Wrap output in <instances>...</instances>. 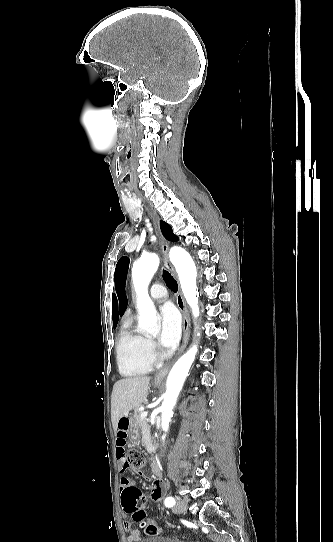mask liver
Masks as SVG:
<instances>
[{"instance_id":"1","label":"liver","mask_w":333,"mask_h":542,"mask_svg":"<svg viewBox=\"0 0 333 542\" xmlns=\"http://www.w3.org/2000/svg\"><path fill=\"white\" fill-rule=\"evenodd\" d=\"M149 376H126L113 386L111 396V422L114 434L118 432V422L125 414L140 408L148 396Z\"/></svg>"}]
</instances>
